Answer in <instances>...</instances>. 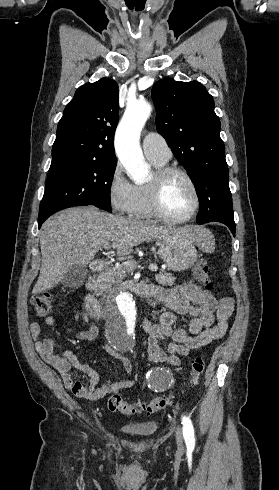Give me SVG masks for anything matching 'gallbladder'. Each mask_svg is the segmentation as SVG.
Listing matches in <instances>:
<instances>
[{
	"mask_svg": "<svg viewBox=\"0 0 279 490\" xmlns=\"http://www.w3.org/2000/svg\"><path fill=\"white\" fill-rule=\"evenodd\" d=\"M87 274L86 266H69L60 282L64 288H80L86 282Z\"/></svg>",
	"mask_w": 279,
	"mask_h": 490,
	"instance_id": "gallbladder-1",
	"label": "gallbladder"
}]
</instances>
